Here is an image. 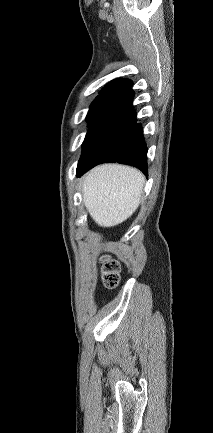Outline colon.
I'll return each instance as SVG.
<instances>
[{
  "label": "colon",
  "mask_w": 213,
  "mask_h": 433,
  "mask_svg": "<svg viewBox=\"0 0 213 433\" xmlns=\"http://www.w3.org/2000/svg\"><path fill=\"white\" fill-rule=\"evenodd\" d=\"M102 274L104 285L109 289L115 288L120 281V264L112 258H104Z\"/></svg>",
  "instance_id": "colon-1"
}]
</instances>
